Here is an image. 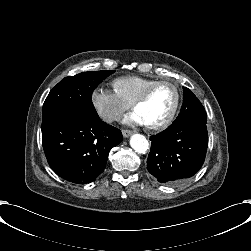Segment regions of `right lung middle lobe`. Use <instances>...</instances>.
I'll return each mask as SVG.
<instances>
[{
    "label": "right lung middle lobe",
    "mask_w": 251,
    "mask_h": 251,
    "mask_svg": "<svg viewBox=\"0 0 251 251\" xmlns=\"http://www.w3.org/2000/svg\"><path fill=\"white\" fill-rule=\"evenodd\" d=\"M115 71L83 72L62 79L47 96L42 111V124L67 110L98 116L92 103L94 89Z\"/></svg>",
    "instance_id": "right-lung-middle-lobe-1"
}]
</instances>
